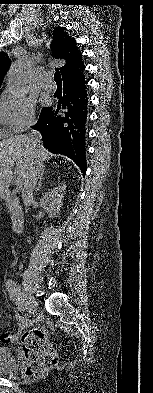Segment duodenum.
Returning <instances> with one entry per match:
<instances>
[{"label": "duodenum", "mask_w": 153, "mask_h": 393, "mask_svg": "<svg viewBox=\"0 0 153 393\" xmlns=\"http://www.w3.org/2000/svg\"><path fill=\"white\" fill-rule=\"evenodd\" d=\"M2 197L11 207L9 215L13 232H21L23 229L24 215L17 198L11 192H4Z\"/></svg>", "instance_id": "obj_1"}]
</instances>
